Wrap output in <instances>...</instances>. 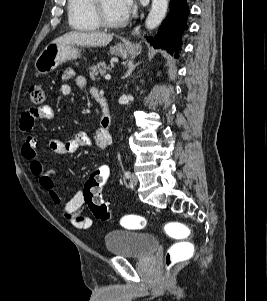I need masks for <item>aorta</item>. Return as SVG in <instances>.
Returning <instances> with one entry per match:
<instances>
[{
  "label": "aorta",
  "instance_id": "1",
  "mask_svg": "<svg viewBox=\"0 0 267 301\" xmlns=\"http://www.w3.org/2000/svg\"><path fill=\"white\" fill-rule=\"evenodd\" d=\"M168 8V0H152V7L146 18L147 29L156 28L164 19Z\"/></svg>",
  "mask_w": 267,
  "mask_h": 301
}]
</instances>
